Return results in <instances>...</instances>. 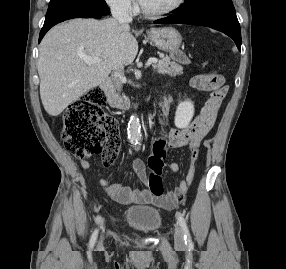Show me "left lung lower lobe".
<instances>
[{"instance_id": "1", "label": "left lung lower lobe", "mask_w": 286, "mask_h": 269, "mask_svg": "<svg viewBox=\"0 0 286 269\" xmlns=\"http://www.w3.org/2000/svg\"><path fill=\"white\" fill-rule=\"evenodd\" d=\"M172 16L155 21L156 24H192L221 31L231 37L241 50V29L235 10H203L189 14L173 12Z\"/></svg>"}]
</instances>
